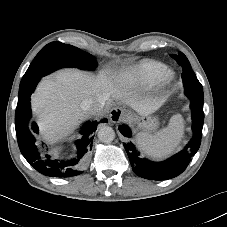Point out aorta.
Here are the masks:
<instances>
[{
    "label": "aorta",
    "instance_id": "aorta-1",
    "mask_svg": "<svg viewBox=\"0 0 227 227\" xmlns=\"http://www.w3.org/2000/svg\"><path fill=\"white\" fill-rule=\"evenodd\" d=\"M115 138V132L110 126H103L98 131V139L103 143H110Z\"/></svg>",
    "mask_w": 227,
    "mask_h": 227
}]
</instances>
